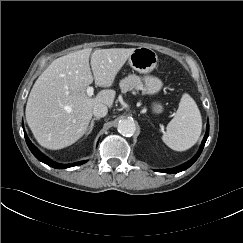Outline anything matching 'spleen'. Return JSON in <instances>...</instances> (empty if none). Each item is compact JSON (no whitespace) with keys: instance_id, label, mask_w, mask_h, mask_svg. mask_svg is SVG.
<instances>
[{"instance_id":"obj_1","label":"spleen","mask_w":243,"mask_h":243,"mask_svg":"<svg viewBox=\"0 0 243 243\" xmlns=\"http://www.w3.org/2000/svg\"><path fill=\"white\" fill-rule=\"evenodd\" d=\"M202 130V119L196 102L185 93L178 110L162 136L163 142L175 151H186L198 141Z\"/></svg>"}]
</instances>
